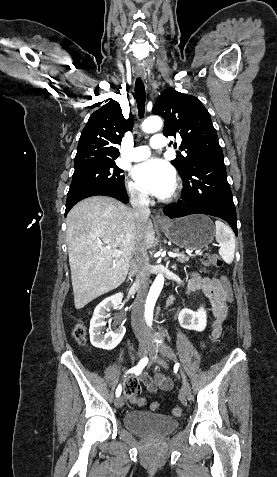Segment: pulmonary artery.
Here are the masks:
<instances>
[{
	"label": "pulmonary artery",
	"instance_id": "1",
	"mask_svg": "<svg viewBox=\"0 0 277 477\" xmlns=\"http://www.w3.org/2000/svg\"><path fill=\"white\" fill-rule=\"evenodd\" d=\"M152 148H163L166 146L165 137L161 134L153 135L150 140ZM150 156V149L148 146H139L133 149L131 158L133 161L145 160Z\"/></svg>",
	"mask_w": 277,
	"mask_h": 477
}]
</instances>
